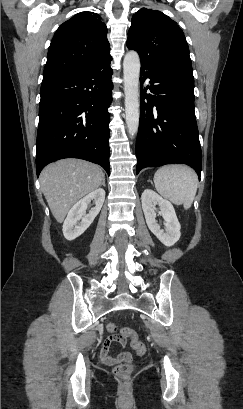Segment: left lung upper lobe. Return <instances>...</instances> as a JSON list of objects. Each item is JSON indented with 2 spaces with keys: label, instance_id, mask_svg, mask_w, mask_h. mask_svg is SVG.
<instances>
[{
  "label": "left lung upper lobe",
  "instance_id": "5c2ea615",
  "mask_svg": "<svg viewBox=\"0 0 243 409\" xmlns=\"http://www.w3.org/2000/svg\"><path fill=\"white\" fill-rule=\"evenodd\" d=\"M127 47L140 55L142 70L151 71L171 64L191 66L183 31L157 10L142 8L133 16Z\"/></svg>",
  "mask_w": 243,
  "mask_h": 409
}]
</instances>
